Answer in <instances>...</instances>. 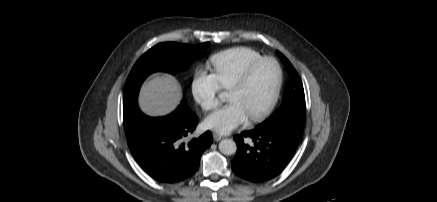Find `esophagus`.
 <instances>
[{
	"mask_svg": "<svg viewBox=\"0 0 437 202\" xmlns=\"http://www.w3.org/2000/svg\"><path fill=\"white\" fill-rule=\"evenodd\" d=\"M213 139L214 141H220L221 139H223V136L215 133L213 134Z\"/></svg>",
	"mask_w": 437,
	"mask_h": 202,
	"instance_id": "esophagus-1",
	"label": "esophagus"
}]
</instances>
